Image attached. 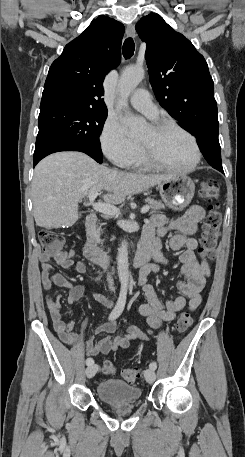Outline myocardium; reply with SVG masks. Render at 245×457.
<instances>
[{"label": "myocardium", "instance_id": "1", "mask_svg": "<svg viewBox=\"0 0 245 457\" xmlns=\"http://www.w3.org/2000/svg\"><path fill=\"white\" fill-rule=\"evenodd\" d=\"M152 129L157 133L161 134L166 130L169 129H175L183 133L185 136L188 137V139L191 142V148L194 153V158L192 163L187 166V167H182V168H175V167H169L164 164H162L160 161L150 157L147 155L145 152L144 148L137 143V153L140 157V159L144 162L145 165L157 169V170H164L168 172H177V173H188L192 170L195 169V167L198 165L200 158H201V152L198 147V143L196 138L185 128L177 124L176 122L168 119L160 120L152 125Z\"/></svg>", "mask_w": 245, "mask_h": 457}]
</instances>
